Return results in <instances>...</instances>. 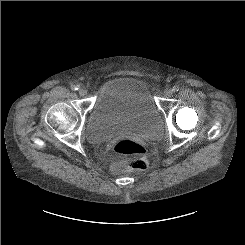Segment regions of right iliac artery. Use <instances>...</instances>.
<instances>
[{"label":"right iliac artery","instance_id":"82829eb1","mask_svg":"<svg viewBox=\"0 0 245 245\" xmlns=\"http://www.w3.org/2000/svg\"><path fill=\"white\" fill-rule=\"evenodd\" d=\"M79 88H80V87H79L78 85H76V86L74 85V86H72L71 89H72L73 91H76V90H78Z\"/></svg>","mask_w":245,"mask_h":245}]
</instances>
